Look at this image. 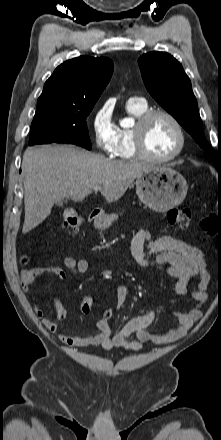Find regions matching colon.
I'll list each match as a JSON object with an SVG mask.
<instances>
[{
	"mask_svg": "<svg viewBox=\"0 0 221 440\" xmlns=\"http://www.w3.org/2000/svg\"><path fill=\"white\" fill-rule=\"evenodd\" d=\"M191 210L186 207H175L165 213V220L168 224L178 228H186L191 221ZM83 219L81 215L72 208H66L63 212V225L66 229L77 230L82 226ZM201 228L212 233L216 228V221L213 216H208L201 221ZM93 301L90 297H85L80 305L82 313L87 314L92 310ZM104 321H111L113 312L111 309H102L100 312Z\"/></svg>",
	"mask_w": 221,
	"mask_h": 440,
	"instance_id": "1",
	"label": "colon"
}]
</instances>
